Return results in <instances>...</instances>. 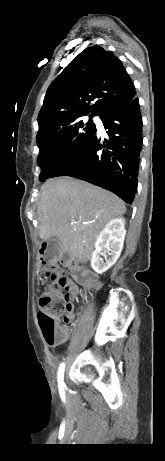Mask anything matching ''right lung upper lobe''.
Masks as SVG:
<instances>
[{
  "instance_id": "obj_1",
  "label": "right lung upper lobe",
  "mask_w": 165,
  "mask_h": 461,
  "mask_svg": "<svg viewBox=\"0 0 165 461\" xmlns=\"http://www.w3.org/2000/svg\"><path fill=\"white\" fill-rule=\"evenodd\" d=\"M134 89L122 62L112 52L99 46L87 48L49 86L38 115L37 137L88 112L102 116L133 99Z\"/></svg>"
}]
</instances>
